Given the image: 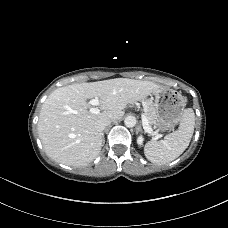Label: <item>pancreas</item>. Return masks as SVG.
<instances>
[{
    "mask_svg": "<svg viewBox=\"0 0 228 228\" xmlns=\"http://www.w3.org/2000/svg\"><path fill=\"white\" fill-rule=\"evenodd\" d=\"M144 114L146 115L148 122H149V126H153L156 121H157V113L156 110L153 106V104L151 102H146L144 104Z\"/></svg>",
    "mask_w": 228,
    "mask_h": 228,
    "instance_id": "obj_1",
    "label": "pancreas"
}]
</instances>
